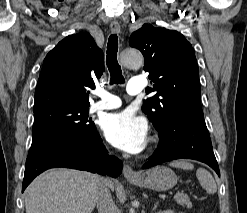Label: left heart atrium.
<instances>
[{"label": "left heart atrium", "mask_w": 247, "mask_h": 213, "mask_svg": "<svg viewBox=\"0 0 247 213\" xmlns=\"http://www.w3.org/2000/svg\"><path fill=\"white\" fill-rule=\"evenodd\" d=\"M100 126L106 139L123 151L137 154L146 146L147 122L131 111L107 114L101 120Z\"/></svg>", "instance_id": "1"}]
</instances>
